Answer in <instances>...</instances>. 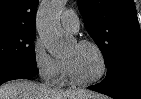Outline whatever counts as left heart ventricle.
<instances>
[{"mask_svg":"<svg viewBox=\"0 0 141 99\" xmlns=\"http://www.w3.org/2000/svg\"><path fill=\"white\" fill-rule=\"evenodd\" d=\"M75 73L82 80H90L98 76L101 62L94 49L87 46L73 45L65 56Z\"/></svg>","mask_w":141,"mask_h":99,"instance_id":"b2bd125f","label":"left heart ventricle"}]
</instances>
